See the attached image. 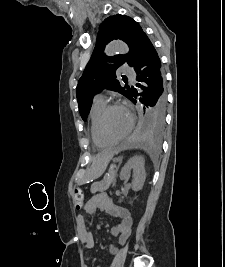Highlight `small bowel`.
I'll return each instance as SVG.
<instances>
[{
    "label": "small bowel",
    "instance_id": "c3829d8e",
    "mask_svg": "<svg viewBox=\"0 0 225 267\" xmlns=\"http://www.w3.org/2000/svg\"><path fill=\"white\" fill-rule=\"evenodd\" d=\"M97 209L104 211L116 218V222L110 228V238H118L120 244L124 243L131 233L132 217L129 211L123 207L115 205L108 194L99 193L93 196L85 206V212L93 214ZM84 225L83 246L84 248H92L94 245L91 232L85 227L83 217L79 218ZM118 248L110 244L109 252L114 255ZM100 267V266H97Z\"/></svg>",
    "mask_w": 225,
    "mask_h": 267
}]
</instances>
